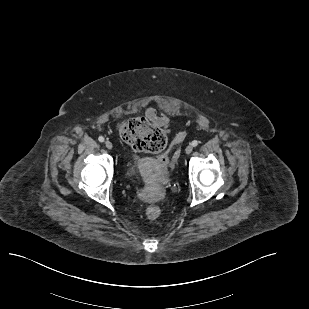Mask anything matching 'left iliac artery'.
I'll use <instances>...</instances> for the list:
<instances>
[{"label":"left iliac artery","mask_w":309,"mask_h":309,"mask_svg":"<svg viewBox=\"0 0 309 309\" xmlns=\"http://www.w3.org/2000/svg\"><path fill=\"white\" fill-rule=\"evenodd\" d=\"M191 145H192L193 147H196V146L198 145V141H197V140H193V141L191 142Z\"/></svg>","instance_id":"obj_1"}]
</instances>
